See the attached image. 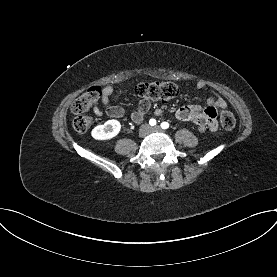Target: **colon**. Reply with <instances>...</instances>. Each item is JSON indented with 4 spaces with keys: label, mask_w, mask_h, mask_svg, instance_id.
Listing matches in <instances>:
<instances>
[{
    "label": "colon",
    "mask_w": 277,
    "mask_h": 277,
    "mask_svg": "<svg viewBox=\"0 0 277 277\" xmlns=\"http://www.w3.org/2000/svg\"><path fill=\"white\" fill-rule=\"evenodd\" d=\"M134 92L145 99L169 101L180 94L181 87L170 81H151L136 85ZM100 98L101 88L92 87L73 102L71 109L76 116L72 126L75 131L84 133L89 130L92 119L86 113L97 104ZM220 122L227 130L233 129L236 123L233 113L225 108L220 111Z\"/></svg>",
    "instance_id": "5ec220e1"
}]
</instances>
